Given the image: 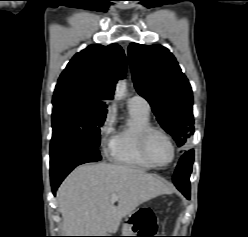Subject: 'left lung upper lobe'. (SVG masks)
Instances as JSON below:
<instances>
[{
    "instance_id": "5c2ea615",
    "label": "left lung upper lobe",
    "mask_w": 248,
    "mask_h": 237,
    "mask_svg": "<svg viewBox=\"0 0 248 237\" xmlns=\"http://www.w3.org/2000/svg\"><path fill=\"white\" fill-rule=\"evenodd\" d=\"M128 56L137 92L150 103L164 130L182 146L194 132L193 95L175 57L161 45L137 43L130 44Z\"/></svg>"
}]
</instances>
